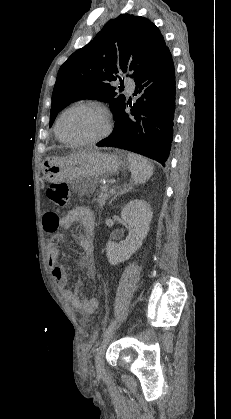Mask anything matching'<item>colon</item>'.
Returning a JSON list of instances; mask_svg holds the SVG:
<instances>
[{"instance_id":"obj_1","label":"colon","mask_w":231,"mask_h":419,"mask_svg":"<svg viewBox=\"0 0 231 419\" xmlns=\"http://www.w3.org/2000/svg\"><path fill=\"white\" fill-rule=\"evenodd\" d=\"M48 198L57 206L65 207L69 202L70 190L66 183L51 184L46 190ZM88 344H84L86 347Z\"/></svg>"}]
</instances>
